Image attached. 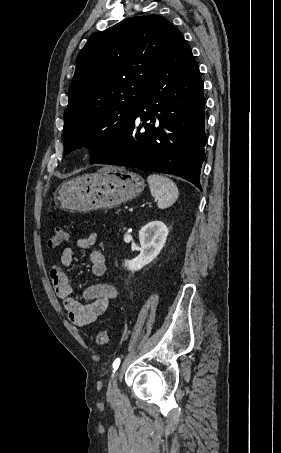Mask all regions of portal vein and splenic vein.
Listing matches in <instances>:
<instances>
[{
	"mask_svg": "<svg viewBox=\"0 0 281 453\" xmlns=\"http://www.w3.org/2000/svg\"><path fill=\"white\" fill-rule=\"evenodd\" d=\"M140 207L142 208L143 206L141 205ZM128 212H134V207H128Z\"/></svg>",
	"mask_w": 281,
	"mask_h": 453,
	"instance_id": "18ae733b",
	"label": "portal vein and splenic vein"
}]
</instances>
